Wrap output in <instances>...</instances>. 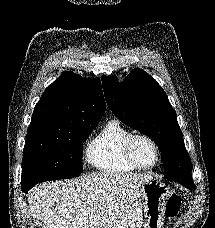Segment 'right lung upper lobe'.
Returning <instances> with one entry per match:
<instances>
[{"label":"right lung upper lobe","instance_id":"right-lung-upper-lobe-1","mask_svg":"<svg viewBox=\"0 0 215 228\" xmlns=\"http://www.w3.org/2000/svg\"><path fill=\"white\" fill-rule=\"evenodd\" d=\"M105 100L101 82L64 71L50 84L36 104L27 132L77 123L99 122Z\"/></svg>","mask_w":215,"mask_h":228}]
</instances>
